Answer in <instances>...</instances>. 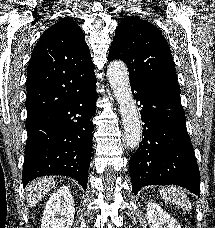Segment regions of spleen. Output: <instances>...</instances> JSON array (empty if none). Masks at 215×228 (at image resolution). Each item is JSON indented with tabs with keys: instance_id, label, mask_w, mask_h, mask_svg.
Listing matches in <instances>:
<instances>
[{
	"instance_id": "obj_1",
	"label": "spleen",
	"mask_w": 215,
	"mask_h": 228,
	"mask_svg": "<svg viewBox=\"0 0 215 228\" xmlns=\"http://www.w3.org/2000/svg\"><path fill=\"white\" fill-rule=\"evenodd\" d=\"M159 192L163 200H166V202L178 204V206H181L182 210H191V202H189L187 196H185L180 188H176V186H168V188H165V190H159Z\"/></svg>"
}]
</instances>
